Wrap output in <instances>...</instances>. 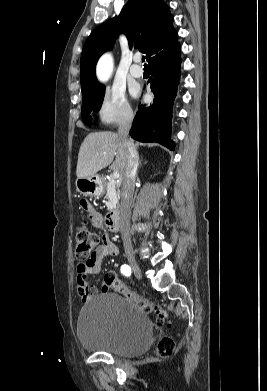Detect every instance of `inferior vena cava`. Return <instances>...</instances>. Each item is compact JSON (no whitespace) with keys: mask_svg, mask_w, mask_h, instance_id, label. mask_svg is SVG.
<instances>
[{"mask_svg":"<svg viewBox=\"0 0 267 391\" xmlns=\"http://www.w3.org/2000/svg\"><path fill=\"white\" fill-rule=\"evenodd\" d=\"M133 115L128 113L119 123L118 135L121 138L127 152V162L125 171L122 177L121 201H120V217L119 227L123 240L124 249L126 252L132 251L131 237L129 232L131 205L134 191V181L138 168V152L131 140L128 139L129 130L131 128Z\"/></svg>","mask_w":267,"mask_h":391,"instance_id":"1","label":"inferior vena cava"}]
</instances>
